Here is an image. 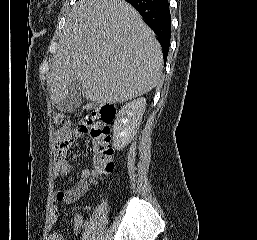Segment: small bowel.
<instances>
[{"mask_svg":"<svg viewBox=\"0 0 257 240\" xmlns=\"http://www.w3.org/2000/svg\"><path fill=\"white\" fill-rule=\"evenodd\" d=\"M86 132L82 124L72 127L65 125L56 131L55 139V173L56 175L69 176L72 173V165L67 159V151L73 142ZM91 187V170L85 168L80 174L79 181L69 189H59L55 191V203L50 209V223L55 224L58 220L59 207L57 203L73 204L77 202ZM86 224L80 216H76L74 220V233L80 235ZM48 240H65L58 233L53 232L49 235Z\"/></svg>","mask_w":257,"mask_h":240,"instance_id":"obj_1","label":"small bowel"}]
</instances>
